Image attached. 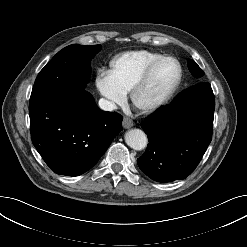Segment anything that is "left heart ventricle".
<instances>
[{"label":"left heart ventricle","mask_w":247,"mask_h":247,"mask_svg":"<svg viewBox=\"0 0 247 247\" xmlns=\"http://www.w3.org/2000/svg\"><path fill=\"white\" fill-rule=\"evenodd\" d=\"M178 69L172 60L161 61L137 97L138 106H146L160 98L173 84Z\"/></svg>","instance_id":"obj_1"}]
</instances>
